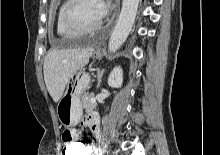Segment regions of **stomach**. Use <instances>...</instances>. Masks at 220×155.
Here are the masks:
<instances>
[{
  "label": "stomach",
  "mask_w": 220,
  "mask_h": 155,
  "mask_svg": "<svg viewBox=\"0 0 220 155\" xmlns=\"http://www.w3.org/2000/svg\"><path fill=\"white\" fill-rule=\"evenodd\" d=\"M100 52L95 53V58H100ZM90 85V76L78 72L72 81H68L64 96L57 105V116L64 126H75L83 114L81 97Z\"/></svg>",
  "instance_id": "stomach-1"
}]
</instances>
